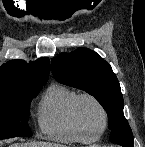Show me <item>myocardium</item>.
<instances>
[{
    "label": "myocardium",
    "instance_id": "1",
    "mask_svg": "<svg viewBox=\"0 0 145 147\" xmlns=\"http://www.w3.org/2000/svg\"><path fill=\"white\" fill-rule=\"evenodd\" d=\"M84 99H88V100L92 101L99 108V110L102 114V117H103V127L97 134H94V135H89L87 133V131L83 128L80 117H79V113H78L79 103ZM71 118H72V121H73L76 129L80 133L89 135L92 139L100 138L106 132V130L108 128V124H109V115H108V112H107L105 106L96 96H94L90 93H81L75 97V99L72 103V107H71Z\"/></svg>",
    "mask_w": 145,
    "mask_h": 147
}]
</instances>
